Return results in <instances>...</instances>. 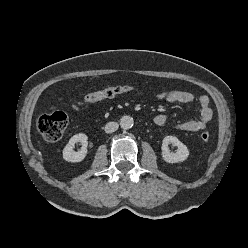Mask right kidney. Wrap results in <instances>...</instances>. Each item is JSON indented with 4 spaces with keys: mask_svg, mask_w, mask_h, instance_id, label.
<instances>
[{
    "mask_svg": "<svg viewBox=\"0 0 248 248\" xmlns=\"http://www.w3.org/2000/svg\"><path fill=\"white\" fill-rule=\"evenodd\" d=\"M78 142L82 144V147L78 152H75L73 148ZM87 145L88 137L85 134L79 133L74 135L73 137H71L63 150V158L68 162L82 161L87 155Z\"/></svg>",
    "mask_w": 248,
    "mask_h": 248,
    "instance_id": "1",
    "label": "right kidney"
}]
</instances>
